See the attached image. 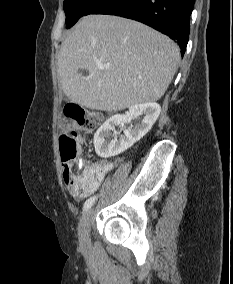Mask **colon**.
I'll return each mask as SVG.
<instances>
[{"label": "colon", "instance_id": "obj_1", "mask_svg": "<svg viewBox=\"0 0 233 284\" xmlns=\"http://www.w3.org/2000/svg\"><path fill=\"white\" fill-rule=\"evenodd\" d=\"M64 112L81 130L86 132L95 130L101 119L100 113L86 110L73 102L65 106ZM79 143V135L75 131L67 132L59 138L63 179L72 194L87 195L93 191L94 181L92 176L76 163Z\"/></svg>", "mask_w": 233, "mask_h": 284}]
</instances>
